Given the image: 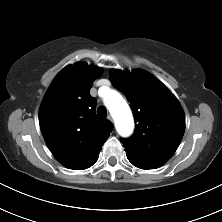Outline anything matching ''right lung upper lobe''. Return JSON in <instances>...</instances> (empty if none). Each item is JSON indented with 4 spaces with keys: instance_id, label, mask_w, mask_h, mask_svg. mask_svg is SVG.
<instances>
[{
    "instance_id": "1",
    "label": "right lung upper lobe",
    "mask_w": 222,
    "mask_h": 222,
    "mask_svg": "<svg viewBox=\"0 0 222 222\" xmlns=\"http://www.w3.org/2000/svg\"><path fill=\"white\" fill-rule=\"evenodd\" d=\"M102 75L99 67L77 62L63 68L48 88L39 111L40 128L50 151L69 169L91 167L113 124L95 114L89 90Z\"/></svg>"
}]
</instances>
